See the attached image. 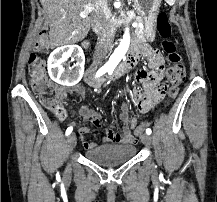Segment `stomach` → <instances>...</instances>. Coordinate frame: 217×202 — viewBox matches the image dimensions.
<instances>
[{
    "label": "stomach",
    "mask_w": 217,
    "mask_h": 202,
    "mask_svg": "<svg viewBox=\"0 0 217 202\" xmlns=\"http://www.w3.org/2000/svg\"><path fill=\"white\" fill-rule=\"evenodd\" d=\"M162 0H134L135 8L143 20L144 36L147 42H154L156 20Z\"/></svg>",
    "instance_id": "stomach-1"
}]
</instances>
